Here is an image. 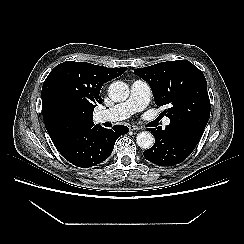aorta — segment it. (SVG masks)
<instances>
[{
  "label": "aorta",
  "mask_w": 244,
  "mask_h": 244,
  "mask_svg": "<svg viewBox=\"0 0 244 244\" xmlns=\"http://www.w3.org/2000/svg\"><path fill=\"white\" fill-rule=\"evenodd\" d=\"M129 93L128 85L122 81L113 82L108 88L109 97L115 102L125 101ZM136 143L142 149H149L154 144V136L148 131L140 132L137 134Z\"/></svg>",
  "instance_id": "aorta-1"
}]
</instances>
